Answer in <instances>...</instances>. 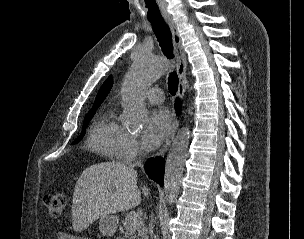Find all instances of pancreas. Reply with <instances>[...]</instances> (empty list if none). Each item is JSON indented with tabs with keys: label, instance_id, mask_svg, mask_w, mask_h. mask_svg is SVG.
<instances>
[{
	"label": "pancreas",
	"instance_id": "pancreas-1",
	"mask_svg": "<svg viewBox=\"0 0 304 239\" xmlns=\"http://www.w3.org/2000/svg\"><path fill=\"white\" fill-rule=\"evenodd\" d=\"M121 223L120 232L124 233L128 239H148L147 227L138 213H127Z\"/></svg>",
	"mask_w": 304,
	"mask_h": 239
}]
</instances>
